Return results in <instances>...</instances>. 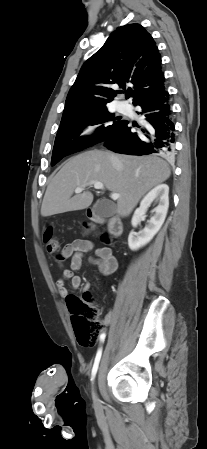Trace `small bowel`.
Listing matches in <instances>:
<instances>
[{
	"label": "small bowel",
	"instance_id": "1",
	"mask_svg": "<svg viewBox=\"0 0 207 449\" xmlns=\"http://www.w3.org/2000/svg\"><path fill=\"white\" fill-rule=\"evenodd\" d=\"M61 252L64 259L71 258L70 268L63 269L61 277L56 282L58 293L63 299H67L69 295L66 287L67 281L71 283L72 288L75 290L80 287L82 279L77 272L80 270L87 253H94L93 256L89 257V261L96 265L105 276L112 275L118 268V261L112 250L108 247H95L94 243L89 239H75L71 243L66 244ZM111 320L112 314L107 313L104 317V323L109 325Z\"/></svg>",
	"mask_w": 207,
	"mask_h": 449
}]
</instances>
